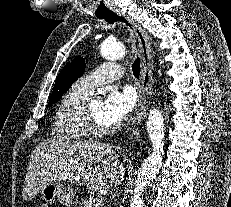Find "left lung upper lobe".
<instances>
[{
  "mask_svg": "<svg viewBox=\"0 0 231 207\" xmlns=\"http://www.w3.org/2000/svg\"><path fill=\"white\" fill-rule=\"evenodd\" d=\"M85 71V60L77 56L70 63L66 64L56 78L49 105L55 103L64 92L78 79Z\"/></svg>",
  "mask_w": 231,
  "mask_h": 207,
  "instance_id": "obj_1",
  "label": "left lung upper lobe"
}]
</instances>
